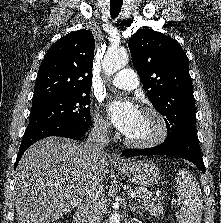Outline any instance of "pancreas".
Returning a JSON list of instances; mask_svg holds the SVG:
<instances>
[{
	"instance_id": "pancreas-1",
	"label": "pancreas",
	"mask_w": 221,
	"mask_h": 223,
	"mask_svg": "<svg viewBox=\"0 0 221 223\" xmlns=\"http://www.w3.org/2000/svg\"><path fill=\"white\" fill-rule=\"evenodd\" d=\"M131 192H138L130 190ZM140 193V192H138ZM139 196V195H138ZM139 201L141 202V208H145L152 216H159L163 214V205H162V198L158 197L155 198L152 194L150 195H142L140 193Z\"/></svg>"
}]
</instances>
